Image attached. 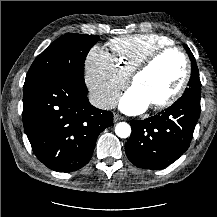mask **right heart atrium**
Instances as JSON below:
<instances>
[{
    "label": "right heart atrium",
    "mask_w": 217,
    "mask_h": 217,
    "mask_svg": "<svg viewBox=\"0 0 217 217\" xmlns=\"http://www.w3.org/2000/svg\"><path fill=\"white\" fill-rule=\"evenodd\" d=\"M86 85L94 103L108 109L117 101L128 77L113 64L111 55L100 46H94L86 59Z\"/></svg>",
    "instance_id": "d8ad5b80"
}]
</instances>
